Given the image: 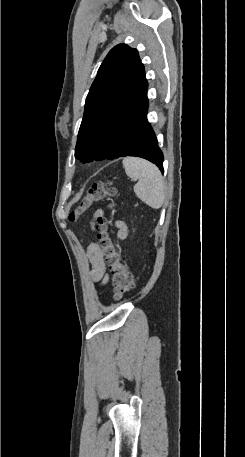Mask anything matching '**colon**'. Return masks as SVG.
Instances as JSON below:
<instances>
[{"mask_svg": "<svg viewBox=\"0 0 245 457\" xmlns=\"http://www.w3.org/2000/svg\"><path fill=\"white\" fill-rule=\"evenodd\" d=\"M116 195V189L110 182L93 183L78 207L71 212L69 219L74 221L78 215L92 207L95 203ZM97 240L104 260L112 275V285L115 299H121L134 287V277L128 265L123 261L118 246L111 238L108 222L100 217L97 220Z\"/></svg>", "mask_w": 245, "mask_h": 457, "instance_id": "1", "label": "colon"}]
</instances>
